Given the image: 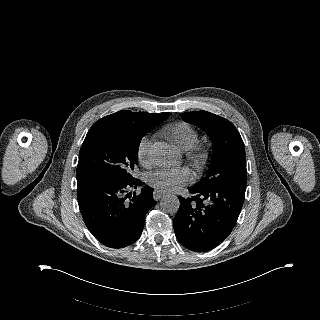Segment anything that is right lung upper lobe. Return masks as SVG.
<instances>
[{
	"instance_id": "right-lung-upper-lobe-1",
	"label": "right lung upper lobe",
	"mask_w": 320,
	"mask_h": 320,
	"mask_svg": "<svg viewBox=\"0 0 320 320\" xmlns=\"http://www.w3.org/2000/svg\"><path fill=\"white\" fill-rule=\"evenodd\" d=\"M170 113L150 114L119 111L98 120L90 128L82 145L104 136L134 138L144 136L156 125L164 121Z\"/></svg>"
}]
</instances>
